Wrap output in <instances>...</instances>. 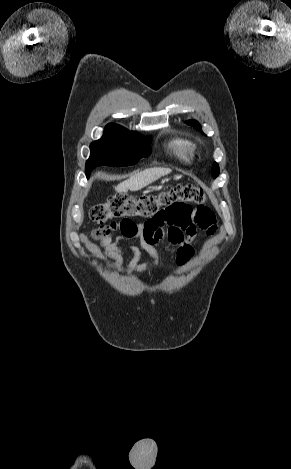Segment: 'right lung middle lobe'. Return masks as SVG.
Listing matches in <instances>:
<instances>
[{
	"label": "right lung middle lobe",
	"mask_w": 291,
	"mask_h": 469,
	"mask_svg": "<svg viewBox=\"0 0 291 469\" xmlns=\"http://www.w3.org/2000/svg\"><path fill=\"white\" fill-rule=\"evenodd\" d=\"M150 143V137L144 138L120 125L108 124L103 136L90 145L91 155L85 167L87 178L96 166L120 167L136 164L141 158L151 154Z\"/></svg>",
	"instance_id": "1"
}]
</instances>
